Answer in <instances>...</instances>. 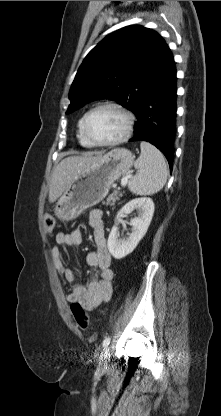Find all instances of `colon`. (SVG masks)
I'll use <instances>...</instances> for the list:
<instances>
[{"mask_svg":"<svg viewBox=\"0 0 221 416\" xmlns=\"http://www.w3.org/2000/svg\"><path fill=\"white\" fill-rule=\"evenodd\" d=\"M54 227H55L54 217L51 215L46 216L44 219V228L46 232H49V233L52 232ZM70 309H71V312L73 314V317L77 325L83 330L87 329L89 326V317L87 313L85 312L84 308L82 307V305L79 304L78 302H73L70 305Z\"/></svg>","mask_w":221,"mask_h":416,"instance_id":"1","label":"colon"}]
</instances>
